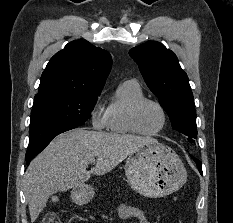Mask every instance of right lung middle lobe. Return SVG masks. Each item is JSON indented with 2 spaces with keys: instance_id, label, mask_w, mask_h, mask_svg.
<instances>
[{
  "instance_id": "dd1d6c3e",
  "label": "right lung middle lobe",
  "mask_w": 233,
  "mask_h": 223,
  "mask_svg": "<svg viewBox=\"0 0 233 223\" xmlns=\"http://www.w3.org/2000/svg\"><path fill=\"white\" fill-rule=\"evenodd\" d=\"M98 94L47 93L35 96L26 157L40 153L58 134L90 118Z\"/></svg>"
}]
</instances>
